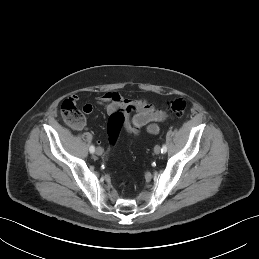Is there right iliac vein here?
Here are the masks:
<instances>
[{
    "mask_svg": "<svg viewBox=\"0 0 259 259\" xmlns=\"http://www.w3.org/2000/svg\"><path fill=\"white\" fill-rule=\"evenodd\" d=\"M98 156H101L103 154V149L101 147H97L96 148V152H95Z\"/></svg>",
    "mask_w": 259,
    "mask_h": 259,
    "instance_id": "1",
    "label": "right iliac vein"
}]
</instances>
